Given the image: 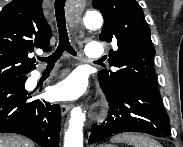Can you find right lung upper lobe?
<instances>
[{
    "label": "right lung upper lobe",
    "instance_id": "right-lung-upper-lobe-1",
    "mask_svg": "<svg viewBox=\"0 0 183 147\" xmlns=\"http://www.w3.org/2000/svg\"><path fill=\"white\" fill-rule=\"evenodd\" d=\"M42 0H12L0 12V82L35 69L34 48L50 51L52 30Z\"/></svg>",
    "mask_w": 183,
    "mask_h": 147
}]
</instances>
